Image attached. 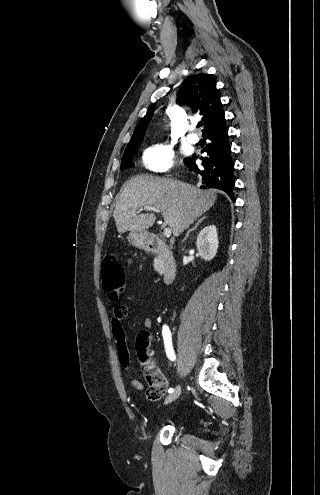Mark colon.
Instances as JSON below:
<instances>
[{
    "label": "colon",
    "instance_id": "obj_1",
    "mask_svg": "<svg viewBox=\"0 0 320 495\" xmlns=\"http://www.w3.org/2000/svg\"><path fill=\"white\" fill-rule=\"evenodd\" d=\"M102 284L104 290L112 300L117 299L120 292L125 287L126 279L122 265L115 255L109 254L105 256L102 267ZM121 305H117L119 309ZM149 333L143 331L139 333L136 339V350L138 357L144 367L150 368L153 363L151 361V355L148 349L149 345ZM148 388L146 390V397L150 401H157L163 397L167 389V383L164 377L160 374L150 373L147 377Z\"/></svg>",
    "mask_w": 320,
    "mask_h": 495
}]
</instances>
